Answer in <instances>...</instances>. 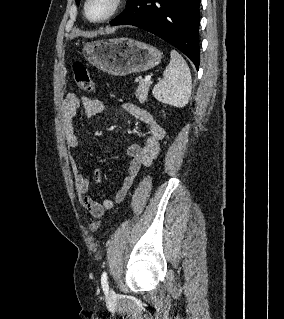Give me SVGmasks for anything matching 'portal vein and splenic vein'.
Segmentation results:
<instances>
[{"label":"portal vein and splenic vein","instance_id":"portal-vein-and-splenic-vein-1","mask_svg":"<svg viewBox=\"0 0 284 319\" xmlns=\"http://www.w3.org/2000/svg\"><path fill=\"white\" fill-rule=\"evenodd\" d=\"M145 82H151V76L150 75H147L145 77Z\"/></svg>","mask_w":284,"mask_h":319}]
</instances>
